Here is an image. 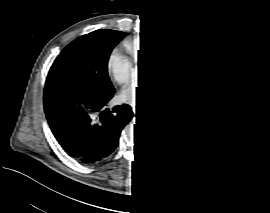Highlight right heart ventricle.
Returning a JSON list of instances; mask_svg holds the SVG:
<instances>
[{
    "label": "right heart ventricle",
    "instance_id": "right-heart-ventricle-1",
    "mask_svg": "<svg viewBox=\"0 0 270 213\" xmlns=\"http://www.w3.org/2000/svg\"><path fill=\"white\" fill-rule=\"evenodd\" d=\"M170 43H168V41H166L165 39L162 38H151L149 41V48H150V52H152V54H156V52H160L161 50H164L165 48H167V46H171L169 45ZM142 43L140 41V39H138L137 43H134L133 45V50H135L136 54L140 51L137 50H141ZM151 54V53H150Z\"/></svg>",
    "mask_w": 270,
    "mask_h": 213
}]
</instances>
